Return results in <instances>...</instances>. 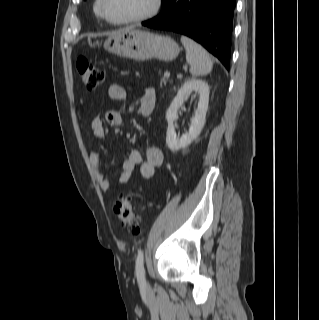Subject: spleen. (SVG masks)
I'll return each mask as SVG.
<instances>
[{"label": "spleen", "mask_w": 319, "mask_h": 320, "mask_svg": "<svg viewBox=\"0 0 319 320\" xmlns=\"http://www.w3.org/2000/svg\"><path fill=\"white\" fill-rule=\"evenodd\" d=\"M181 42L186 49V60L193 76H202L212 71V61L207 51L189 37L182 36Z\"/></svg>", "instance_id": "spleen-1"}]
</instances>
